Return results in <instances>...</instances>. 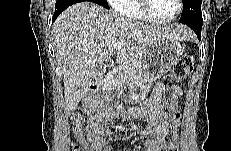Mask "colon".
<instances>
[{
    "label": "colon",
    "mask_w": 231,
    "mask_h": 151,
    "mask_svg": "<svg viewBox=\"0 0 231 151\" xmlns=\"http://www.w3.org/2000/svg\"><path fill=\"white\" fill-rule=\"evenodd\" d=\"M193 69V57L183 55L174 64L172 69V79L180 81L188 76ZM168 123L171 135V141L166 147V151H179L178 139L180 129V112L177 108V102L172 97L167 100ZM72 129L78 140L83 138L84 131V114L81 110H75L71 116ZM72 151H78V146H74Z\"/></svg>",
    "instance_id": "obj_1"
}]
</instances>
